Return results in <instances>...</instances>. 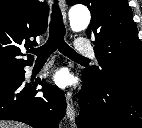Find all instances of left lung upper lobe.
<instances>
[{
	"label": "left lung upper lobe",
	"instance_id": "1",
	"mask_svg": "<svg viewBox=\"0 0 142 128\" xmlns=\"http://www.w3.org/2000/svg\"><path fill=\"white\" fill-rule=\"evenodd\" d=\"M83 4L91 12L86 30L94 38L99 67L87 71L99 81L126 79L142 83V44L127 0H67Z\"/></svg>",
	"mask_w": 142,
	"mask_h": 128
}]
</instances>
